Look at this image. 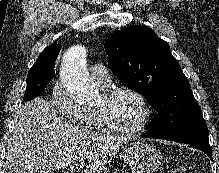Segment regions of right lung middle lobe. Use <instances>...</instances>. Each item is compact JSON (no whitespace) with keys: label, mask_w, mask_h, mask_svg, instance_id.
I'll list each match as a JSON object with an SVG mask.
<instances>
[{"label":"right lung middle lobe","mask_w":219,"mask_h":173,"mask_svg":"<svg viewBox=\"0 0 219 173\" xmlns=\"http://www.w3.org/2000/svg\"><path fill=\"white\" fill-rule=\"evenodd\" d=\"M55 75L45 73L43 70L38 68H30L27 75V87L23 102L37 97L45 87L50 83Z\"/></svg>","instance_id":"obj_1"}]
</instances>
